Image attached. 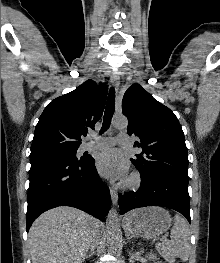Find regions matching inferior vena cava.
Returning a JSON list of instances; mask_svg holds the SVG:
<instances>
[{
	"label": "inferior vena cava",
	"instance_id": "inferior-vena-cava-1",
	"mask_svg": "<svg viewBox=\"0 0 220 263\" xmlns=\"http://www.w3.org/2000/svg\"><path fill=\"white\" fill-rule=\"evenodd\" d=\"M100 237V231L99 230H93L91 232V239H90V246L91 250L92 248H95V245L97 244Z\"/></svg>",
	"mask_w": 220,
	"mask_h": 263
}]
</instances>
